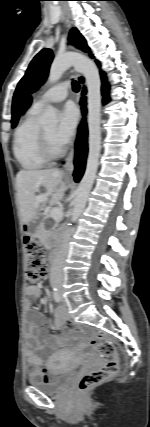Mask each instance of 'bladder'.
Masks as SVG:
<instances>
[{
	"instance_id": "1",
	"label": "bladder",
	"mask_w": 150,
	"mask_h": 427,
	"mask_svg": "<svg viewBox=\"0 0 150 427\" xmlns=\"http://www.w3.org/2000/svg\"><path fill=\"white\" fill-rule=\"evenodd\" d=\"M73 374V369L52 370L46 379L30 378L29 383L46 394H58L64 390Z\"/></svg>"
}]
</instances>
